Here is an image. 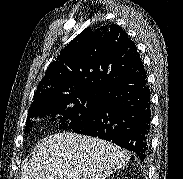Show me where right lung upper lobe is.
Listing matches in <instances>:
<instances>
[{"label": "right lung upper lobe", "mask_w": 183, "mask_h": 179, "mask_svg": "<svg viewBox=\"0 0 183 179\" xmlns=\"http://www.w3.org/2000/svg\"><path fill=\"white\" fill-rule=\"evenodd\" d=\"M142 66L135 43L114 24L88 27L49 65L34 94V106L56 97L100 94Z\"/></svg>", "instance_id": "1"}]
</instances>
